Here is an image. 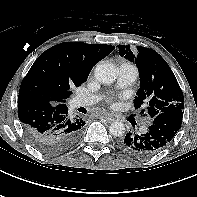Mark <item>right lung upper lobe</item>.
<instances>
[{
	"instance_id": "obj_1",
	"label": "right lung upper lobe",
	"mask_w": 197,
	"mask_h": 197,
	"mask_svg": "<svg viewBox=\"0 0 197 197\" xmlns=\"http://www.w3.org/2000/svg\"><path fill=\"white\" fill-rule=\"evenodd\" d=\"M114 49L111 45L81 42L55 45L37 58L23 79L20 91L45 98L37 90V84L44 83L54 90V97L45 99L54 105L65 104L71 89L85 82L93 66Z\"/></svg>"
}]
</instances>
